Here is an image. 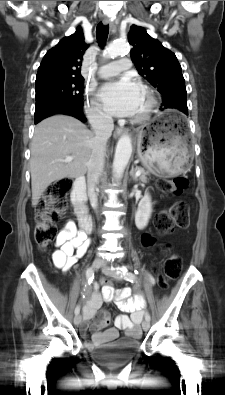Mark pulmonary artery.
<instances>
[{"mask_svg": "<svg viewBox=\"0 0 225 395\" xmlns=\"http://www.w3.org/2000/svg\"><path fill=\"white\" fill-rule=\"evenodd\" d=\"M130 67H131V60L127 57H124L118 61L103 65L99 69V75L104 78L115 76L122 71L128 70Z\"/></svg>", "mask_w": 225, "mask_h": 395, "instance_id": "obj_1", "label": "pulmonary artery"}]
</instances>
